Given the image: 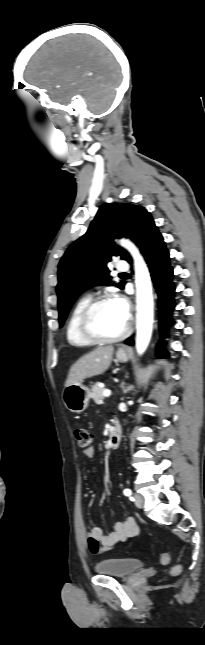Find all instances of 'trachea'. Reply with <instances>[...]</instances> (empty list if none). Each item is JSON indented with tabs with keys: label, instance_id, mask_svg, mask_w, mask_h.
I'll return each mask as SVG.
<instances>
[{
	"label": "trachea",
	"instance_id": "1",
	"mask_svg": "<svg viewBox=\"0 0 205 645\" xmlns=\"http://www.w3.org/2000/svg\"><path fill=\"white\" fill-rule=\"evenodd\" d=\"M127 273H121L120 275H126Z\"/></svg>",
	"mask_w": 205,
	"mask_h": 645
}]
</instances>
